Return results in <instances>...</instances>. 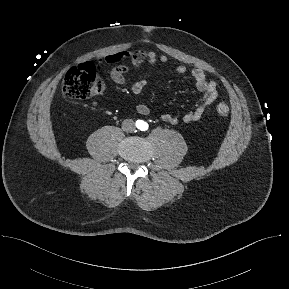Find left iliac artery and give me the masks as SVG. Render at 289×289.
Wrapping results in <instances>:
<instances>
[{
    "instance_id": "44dca946",
    "label": "left iliac artery",
    "mask_w": 289,
    "mask_h": 289,
    "mask_svg": "<svg viewBox=\"0 0 289 289\" xmlns=\"http://www.w3.org/2000/svg\"><path fill=\"white\" fill-rule=\"evenodd\" d=\"M146 127H147V124L144 125V128H145V129H146Z\"/></svg>"
}]
</instances>
